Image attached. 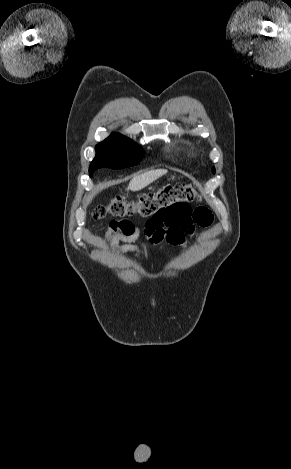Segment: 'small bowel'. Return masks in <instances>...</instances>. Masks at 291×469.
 I'll list each match as a JSON object with an SVG mask.
<instances>
[{
    "label": "small bowel",
    "instance_id": "1",
    "mask_svg": "<svg viewBox=\"0 0 291 469\" xmlns=\"http://www.w3.org/2000/svg\"><path fill=\"white\" fill-rule=\"evenodd\" d=\"M212 214L200 217L189 208L170 209L159 216L149 219L142 229L135 227L131 221H113L109 225L104 241L116 254L132 253L138 259L141 248L152 252L153 246L166 241L171 245L183 246L186 236L191 237L195 224L208 227L212 223ZM141 239V246L135 241ZM123 243V245H121Z\"/></svg>",
    "mask_w": 291,
    "mask_h": 469
}]
</instances>
